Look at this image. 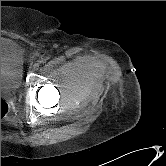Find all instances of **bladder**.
Wrapping results in <instances>:
<instances>
[{"instance_id":"31cf9c89","label":"bladder","mask_w":166,"mask_h":166,"mask_svg":"<svg viewBox=\"0 0 166 166\" xmlns=\"http://www.w3.org/2000/svg\"><path fill=\"white\" fill-rule=\"evenodd\" d=\"M23 57L19 45L1 37V91H14L23 83Z\"/></svg>"}]
</instances>
